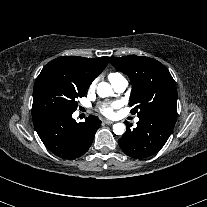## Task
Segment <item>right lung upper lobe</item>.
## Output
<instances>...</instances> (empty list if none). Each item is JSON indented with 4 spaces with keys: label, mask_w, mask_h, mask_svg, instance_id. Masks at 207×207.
Returning <instances> with one entry per match:
<instances>
[{
    "label": "right lung upper lobe",
    "mask_w": 207,
    "mask_h": 207,
    "mask_svg": "<svg viewBox=\"0 0 207 207\" xmlns=\"http://www.w3.org/2000/svg\"><path fill=\"white\" fill-rule=\"evenodd\" d=\"M108 57L84 58L62 56L46 66L55 67L66 73L79 86L87 88L108 64Z\"/></svg>",
    "instance_id": "1"
}]
</instances>
